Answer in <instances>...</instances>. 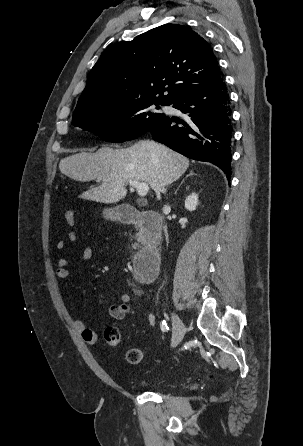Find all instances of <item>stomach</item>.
Returning <instances> with one entry per match:
<instances>
[{"mask_svg": "<svg viewBox=\"0 0 303 446\" xmlns=\"http://www.w3.org/2000/svg\"><path fill=\"white\" fill-rule=\"evenodd\" d=\"M104 216L108 219H116L118 214L114 210H105Z\"/></svg>", "mask_w": 303, "mask_h": 446, "instance_id": "1", "label": "stomach"}]
</instances>
